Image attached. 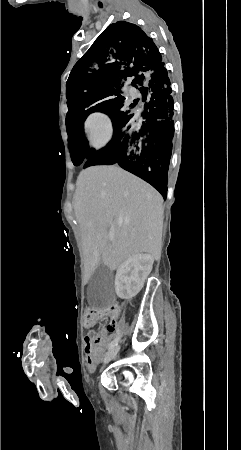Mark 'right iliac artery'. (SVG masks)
<instances>
[{
	"label": "right iliac artery",
	"instance_id": "obj_1",
	"mask_svg": "<svg viewBox=\"0 0 241 450\" xmlns=\"http://www.w3.org/2000/svg\"><path fill=\"white\" fill-rule=\"evenodd\" d=\"M118 341H119V337L115 338V339L110 343L108 349L111 350L113 347H115V346L117 345Z\"/></svg>",
	"mask_w": 241,
	"mask_h": 450
}]
</instances>
